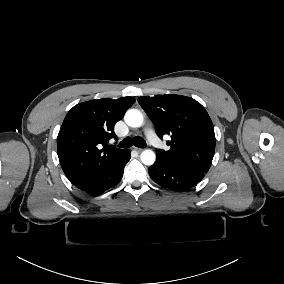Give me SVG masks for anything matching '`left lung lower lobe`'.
<instances>
[{
    "label": "left lung lower lobe",
    "instance_id": "obj_1",
    "mask_svg": "<svg viewBox=\"0 0 284 284\" xmlns=\"http://www.w3.org/2000/svg\"><path fill=\"white\" fill-rule=\"evenodd\" d=\"M204 174L200 171L169 164L158 157L149 168V175L154 182L175 191L194 187L202 180Z\"/></svg>",
    "mask_w": 284,
    "mask_h": 284
}]
</instances>
